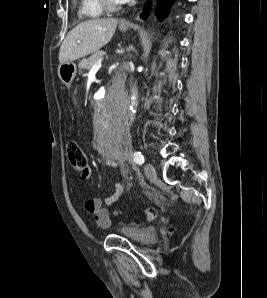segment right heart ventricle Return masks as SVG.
Returning <instances> with one entry per match:
<instances>
[{"instance_id": "right-heart-ventricle-1", "label": "right heart ventricle", "mask_w": 267, "mask_h": 298, "mask_svg": "<svg viewBox=\"0 0 267 298\" xmlns=\"http://www.w3.org/2000/svg\"><path fill=\"white\" fill-rule=\"evenodd\" d=\"M104 10L99 0H79L78 15L85 19H97L102 17Z\"/></svg>"}]
</instances>
